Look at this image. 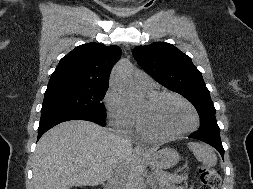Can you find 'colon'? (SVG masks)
Here are the masks:
<instances>
[{
	"mask_svg": "<svg viewBox=\"0 0 253 189\" xmlns=\"http://www.w3.org/2000/svg\"><path fill=\"white\" fill-rule=\"evenodd\" d=\"M200 181L206 189H218L221 183V176L218 170L207 166H200L198 169ZM76 189H82L77 187Z\"/></svg>",
	"mask_w": 253,
	"mask_h": 189,
	"instance_id": "colon-1",
	"label": "colon"
}]
</instances>
